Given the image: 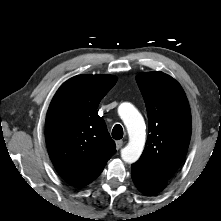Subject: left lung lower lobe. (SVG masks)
I'll return each instance as SVG.
<instances>
[{"label":"left lung lower lobe","mask_w":221,"mask_h":221,"mask_svg":"<svg viewBox=\"0 0 221 221\" xmlns=\"http://www.w3.org/2000/svg\"><path fill=\"white\" fill-rule=\"evenodd\" d=\"M132 179L136 187L146 195H153L163 190L166 185V179L160 178L140 164L132 165Z\"/></svg>","instance_id":"0a47b994"}]
</instances>
